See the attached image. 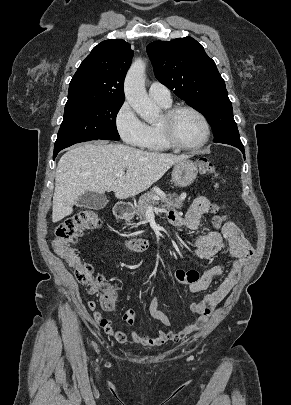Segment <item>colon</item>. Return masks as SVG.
<instances>
[{
    "label": "colon",
    "mask_w": 291,
    "mask_h": 405,
    "mask_svg": "<svg viewBox=\"0 0 291 405\" xmlns=\"http://www.w3.org/2000/svg\"><path fill=\"white\" fill-rule=\"evenodd\" d=\"M198 168L202 175L211 176L216 186L222 181L216 172L214 164L207 159H200ZM213 209L217 212L220 210L218 206H213ZM214 222L218 226L221 225L223 217L219 214L216 215ZM100 224L101 221L96 211L93 209L82 210L57 227L52 246L57 255L73 269L76 280L86 286L90 293H100L102 307L110 310L114 302L110 298L108 290L114 289V287L106 284L101 275L95 274L93 267L89 263L82 261L77 251L71 247V244L85 231L96 229ZM174 277L180 284L186 285L195 282L199 278L196 271L181 269L174 272Z\"/></svg>",
    "instance_id": "obj_1"
}]
</instances>
